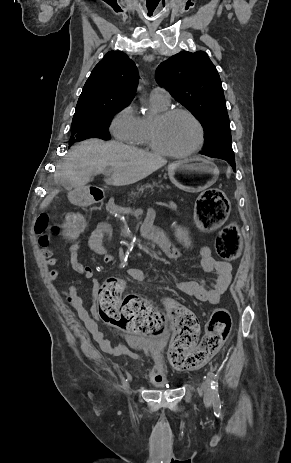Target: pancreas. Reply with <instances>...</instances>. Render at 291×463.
I'll list each match as a JSON object with an SVG mask.
<instances>
[{"instance_id": "1", "label": "pancreas", "mask_w": 291, "mask_h": 463, "mask_svg": "<svg viewBox=\"0 0 291 463\" xmlns=\"http://www.w3.org/2000/svg\"><path fill=\"white\" fill-rule=\"evenodd\" d=\"M171 187L167 184H163L161 181H152L151 183H147L142 186H137L135 190H133L130 194L131 198H139L142 196H162L165 195Z\"/></svg>"}]
</instances>
